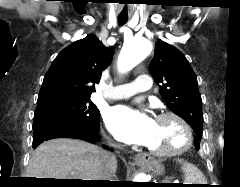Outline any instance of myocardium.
Listing matches in <instances>:
<instances>
[{"label": "myocardium", "mask_w": 240, "mask_h": 187, "mask_svg": "<svg viewBox=\"0 0 240 187\" xmlns=\"http://www.w3.org/2000/svg\"><path fill=\"white\" fill-rule=\"evenodd\" d=\"M166 118L173 119L176 122V124L180 128L183 138H182L181 144L173 148L164 149V150H156V149L148 148V152L150 154L158 157H172V156L180 155L186 152L187 150H189L193 144L192 129L189 123L185 120L183 116H181L179 113L175 111H164L157 116V121L163 120Z\"/></svg>", "instance_id": "1"}]
</instances>
